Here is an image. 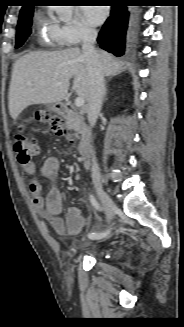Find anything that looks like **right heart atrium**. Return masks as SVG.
<instances>
[{
    "mask_svg": "<svg viewBox=\"0 0 184 327\" xmlns=\"http://www.w3.org/2000/svg\"><path fill=\"white\" fill-rule=\"evenodd\" d=\"M95 29L79 15L74 14L69 20L57 25L56 41L63 46H76L95 35Z\"/></svg>",
    "mask_w": 184,
    "mask_h": 327,
    "instance_id": "right-heart-atrium-1",
    "label": "right heart atrium"
}]
</instances>
